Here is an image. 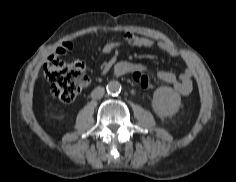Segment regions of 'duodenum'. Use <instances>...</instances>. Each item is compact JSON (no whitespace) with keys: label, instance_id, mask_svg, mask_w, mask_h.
Masks as SVG:
<instances>
[{"label":"duodenum","instance_id":"duodenum-1","mask_svg":"<svg viewBox=\"0 0 236 182\" xmlns=\"http://www.w3.org/2000/svg\"><path fill=\"white\" fill-rule=\"evenodd\" d=\"M131 68H132L131 66L125 63H121L115 68L114 75L118 77L125 76L129 73V71H131Z\"/></svg>","mask_w":236,"mask_h":182}]
</instances>
